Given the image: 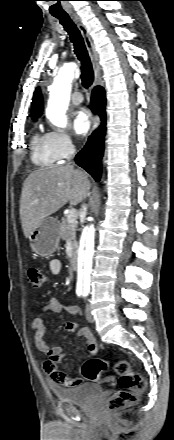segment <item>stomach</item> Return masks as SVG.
<instances>
[{"mask_svg":"<svg viewBox=\"0 0 174 440\" xmlns=\"http://www.w3.org/2000/svg\"><path fill=\"white\" fill-rule=\"evenodd\" d=\"M32 250L40 256H48L56 251L60 241L59 221L46 217L29 236Z\"/></svg>","mask_w":174,"mask_h":440,"instance_id":"obj_1","label":"stomach"}]
</instances>
